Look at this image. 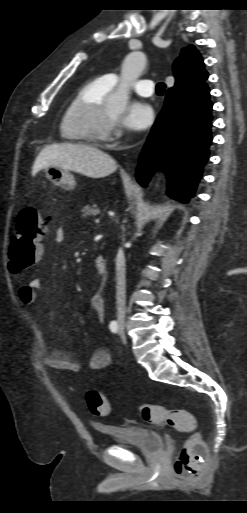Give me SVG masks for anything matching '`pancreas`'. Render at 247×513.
<instances>
[{
	"label": "pancreas",
	"instance_id": "obj_1",
	"mask_svg": "<svg viewBox=\"0 0 247 513\" xmlns=\"http://www.w3.org/2000/svg\"><path fill=\"white\" fill-rule=\"evenodd\" d=\"M82 217L84 218H87V217H90V216H95L97 214L100 213V209L97 207V205H86L84 206V208L82 209Z\"/></svg>",
	"mask_w": 247,
	"mask_h": 513
}]
</instances>
